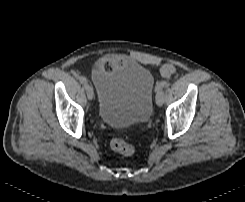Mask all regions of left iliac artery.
Returning a JSON list of instances; mask_svg holds the SVG:
<instances>
[{"label": "left iliac artery", "mask_w": 245, "mask_h": 202, "mask_svg": "<svg viewBox=\"0 0 245 202\" xmlns=\"http://www.w3.org/2000/svg\"><path fill=\"white\" fill-rule=\"evenodd\" d=\"M169 85L168 82L166 81H162V82H159L156 86V93L157 95L159 94V92L164 88V87H167Z\"/></svg>", "instance_id": "obj_1"}]
</instances>
